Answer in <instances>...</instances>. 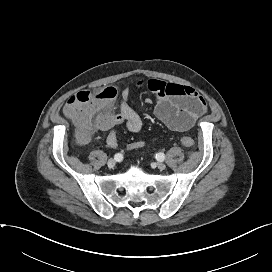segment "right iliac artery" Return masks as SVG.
Masks as SVG:
<instances>
[{
    "label": "right iliac artery",
    "instance_id": "right-iliac-artery-1",
    "mask_svg": "<svg viewBox=\"0 0 272 272\" xmlns=\"http://www.w3.org/2000/svg\"><path fill=\"white\" fill-rule=\"evenodd\" d=\"M114 159H115L116 161L120 162V161H122L123 156H122V154L117 153V154L114 155Z\"/></svg>",
    "mask_w": 272,
    "mask_h": 272
}]
</instances>
